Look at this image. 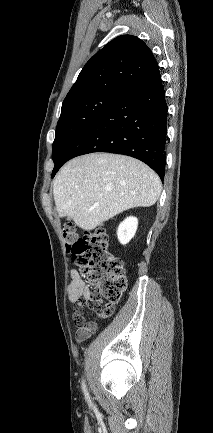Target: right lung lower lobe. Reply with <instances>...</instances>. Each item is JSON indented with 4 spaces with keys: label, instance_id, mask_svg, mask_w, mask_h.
Here are the masks:
<instances>
[{
    "label": "right lung lower lobe",
    "instance_id": "right-lung-lower-lobe-1",
    "mask_svg": "<svg viewBox=\"0 0 213 433\" xmlns=\"http://www.w3.org/2000/svg\"><path fill=\"white\" fill-rule=\"evenodd\" d=\"M167 112L165 91L156 65L72 140L54 162L52 177L73 157L110 152L143 161L163 180Z\"/></svg>",
    "mask_w": 213,
    "mask_h": 433
}]
</instances>
